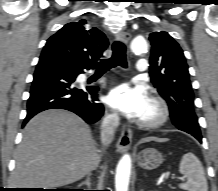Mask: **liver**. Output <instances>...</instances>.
I'll return each mask as SVG.
<instances>
[{
  "label": "liver",
  "instance_id": "liver-1",
  "mask_svg": "<svg viewBox=\"0 0 218 191\" xmlns=\"http://www.w3.org/2000/svg\"><path fill=\"white\" fill-rule=\"evenodd\" d=\"M167 140L147 137L140 142ZM15 160L14 186L50 189L84 178L97 167L99 155L90 127L80 117L51 109L27 123Z\"/></svg>",
  "mask_w": 218,
  "mask_h": 191
}]
</instances>
